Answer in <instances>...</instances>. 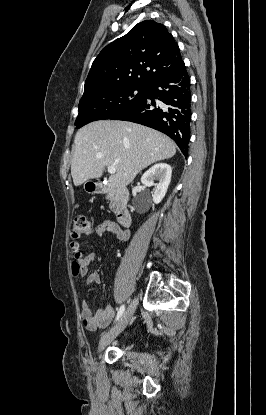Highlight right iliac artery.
I'll list each match as a JSON object with an SVG mask.
<instances>
[{
  "label": "right iliac artery",
  "instance_id": "right-iliac-artery-1",
  "mask_svg": "<svg viewBox=\"0 0 266 415\" xmlns=\"http://www.w3.org/2000/svg\"><path fill=\"white\" fill-rule=\"evenodd\" d=\"M124 310H125V306L124 305H122L120 308H119V310H118V313H117V316H116V319H115V322L116 321H118L119 319H120V317L123 315V313H124Z\"/></svg>",
  "mask_w": 266,
  "mask_h": 415
}]
</instances>
